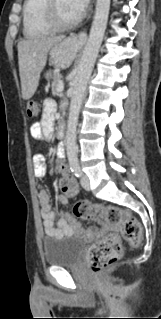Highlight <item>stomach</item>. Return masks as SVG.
Instances as JSON below:
<instances>
[{
	"mask_svg": "<svg viewBox=\"0 0 161 319\" xmlns=\"http://www.w3.org/2000/svg\"><path fill=\"white\" fill-rule=\"evenodd\" d=\"M77 48L78 42L74 38H68L56 44L49 52L51 64L56 68H63L70 65ZM49 76L50 74H47V77Z\"/></svg>",
	"mask_w": 161,
	"mask_h": 319,
	"instance_id": "obj_1",
	"label": "stomach"
}]
</instances>
